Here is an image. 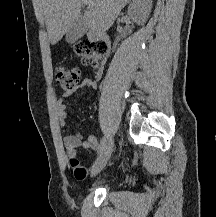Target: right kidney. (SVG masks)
<instances>
[{"mask_svg":"<svg viewBox=\"0 0 216 217\" xmlns=\"http://www.w3.org/2000/svg\"><path fill=\"white\" fill-rule=\"evenodd\" d=\"M152 7V0H133L127 14L136 24L143 25L149 18Z\"/></svg>","mask_w":216,"mask_h":217,"instance_id":"obj_1","label":"right kidney"}]
</instances>
